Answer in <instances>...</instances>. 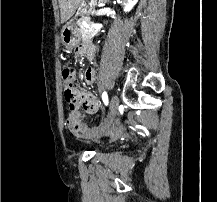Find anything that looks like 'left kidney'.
Instances as JSON below:
<instances>
[{"label": "left kidney", "mask_w": 217, "mask_h": 202, "mask_svg": "<svg viewBox=\"0 0 217 202\" xmlns=\"http://www.w3.org/2000/svg\"><path fill=\"white\" fill-rule=\"evenodd\" d=\"M117 2L124 4V12H130L135 4H137L138 0H117Z\"/></svg>", "instance_id": "obj_1"}]
</instances>
